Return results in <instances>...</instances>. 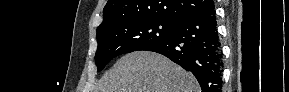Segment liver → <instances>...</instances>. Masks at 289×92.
I'll use <instances>...</instances> for the list:
<instances>
[{"label":"liver","instance_id":"obj_1","mask_svg":"<svg viewBox=\"0 0 289 92\" xmlns=\"http://www.w3.org/2000/svg\"><path fill=\"white\" fill-rule=\"evenodd\" d=\"M100 92H200L196 78L168 58L136 51L121 57L104 74Z\"/></svg>","mask_w":289,"mask_h":92}]
</instances>
